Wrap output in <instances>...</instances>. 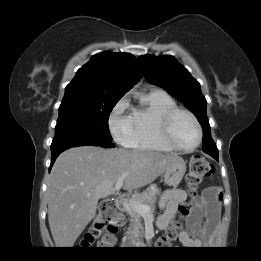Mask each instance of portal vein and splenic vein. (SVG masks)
<instances>
[{"label": "portal vein and splenic vein", "mask_w": 261, "mask_h": 261, "mask_svg": "<svg viewBox=\"0 0 261 261\" xmlns=\"http://www.w3.org/2000/svg\"><path fill=\"white\" fill-rule=\"evenodd\" d=\"M123 182H124V177H121L117 180V182L114 186V192H117L121 189V187L123 186ZM135 208L141 214H146V213L150 212V207L147 205L135 204Z\"/></svg>", "instance_id": "portal-vein-and-splenic-vein-1"}]
</instances>
